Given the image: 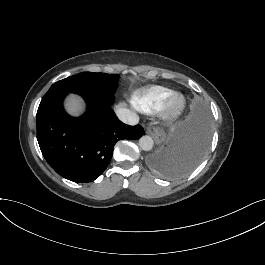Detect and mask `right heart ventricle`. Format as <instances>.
<instances>
[{
  "label": "right heart ventricle",
  "instance_id": "right-heart-ventricle-1",
  "mask_svg": "<svg viewBox=\"0 0 265 265\" xmlns=\"http://www.w3.org/2000/svg\"><path fill=\"white\" fill-rule=\"evenodd\" d=\"M173 93L164 88H155L142 99L136 101L137 108L144 113H154L163 109L171 100Z\"/></svg>",
  "mask_w": 265,
  "mask_h": 265
}]
</instances>
